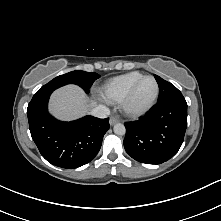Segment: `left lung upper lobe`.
I'll return each mask as SVG.
<instances>
[{
  "mask_svg": "<svg viewBox=\"0 0 221 221\" xmlns=\"http://www.w3.org/2000/svg\"><path fill=\"white\" fill-rule=\"evenodd\" d=\"M154 77L159 86L158 102L171 98L183 97L182 93L173 84L165 81L157 75H154Z\"/></svg>",
  "mask_w": 221,
  "mask_h": 221,
  "instance_id": "left-lung-upper-lobe-1",
  "label": "left lung upper lobe"
}]
</instances>
